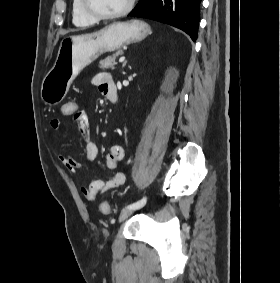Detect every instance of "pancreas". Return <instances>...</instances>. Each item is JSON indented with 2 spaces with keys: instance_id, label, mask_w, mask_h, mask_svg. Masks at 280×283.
Listing matches in <instances>:
<instances>
[{
  "instance_id": "pancreas-1",
  "label": "pancreas",
  "mask_w": 280,
  "mask_h": 283,
  "mask_svg": "<svg viewBox=\"0 0 280 283\" xmlns=\"http://www.w3.org/2000/svg\"><path fill=\"white\" fill-rule=\"evenodd\" d=\"M122 54H123V51L118 50L114 54L105 57L104 59H102L99 62V68H101V69H114L115 65H116L115 59Z\"/></svg>"
}]
</instances>
